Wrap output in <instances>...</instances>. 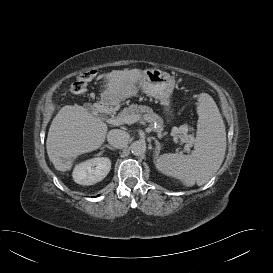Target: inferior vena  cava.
<instances>
[{
    "label": "inferior vena cava",
    "instance_id": "1",
    "mask_svg": "<svg viewBox=\"0 0 273 273\" xmlns=\"http://www.w3.org/2000/svg\"><path fill=\"white\" fill-rule=\"evenodd\" d=\"M130 135L120 129H113L108 132L107 140L110 145L115 148L121 149L128 144Z\"/></svg>",
    "mask_w": 273,
    "mask_h": 273
}]
</instances>
